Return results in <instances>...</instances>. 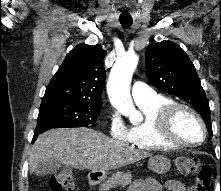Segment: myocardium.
<instances>
[{"label":"myocardium","instance_id":"myocardium-1","mask_svg":"<svg viewBox=\"0 0 221 191\" xmlns=\"http://www.w3.org/2000/svg\"><path fill=\"white\" fill-rule=\"evenodd\" d=\"M182 113L189 114L198 123L202 133L200 141L188 142L177 135L175 122L177 117ZM156 132L163 144L178 147L199 146L205 141L207 136L206 126L200 114L192 107L179 102H171L159 109Z\"/></svg>","mask_w":221,"mask_h":191}]
</instances>
